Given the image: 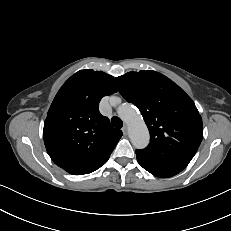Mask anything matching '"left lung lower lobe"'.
<instances>
[{"instance_id":"1","label":"left lung lower lobe","mask_w":231,"mask_h":231,"mask_svg":"<svg viewBox=\"0 0 231 231\" xmlns=\"http://www.w3.org/2000/svg\"><path fill=\"white\" fill-rule=\"evenodd\" d=\"M136 156L140 166H142L145 170H147L148 172H150L151 174L157 177H161V178L172 177L184 169V167L163 164L150 160L140 155L137 151H136Z\"/></svg>"}]
</instances>
